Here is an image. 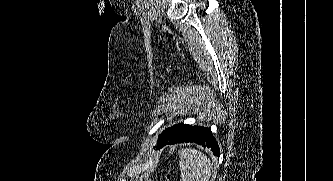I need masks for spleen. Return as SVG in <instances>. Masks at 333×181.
<instances>
[{
  "label": "spleen",
  "mask_w": 333,
  "mask_h": 181,
  "mask_svg": "<svg viewBox=\"0 0 333 181\" xmlns=\"http://www.w3.org/2000/svg\"><path fill=\"white\" fill-rule=\"evenodd\" d=\"M178 154L182 181H209L213 164L205 154L192 148L180 149Z\"/></svg>",
  "instance_id": "spleen-1"
}]
</instances>
